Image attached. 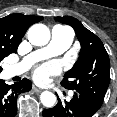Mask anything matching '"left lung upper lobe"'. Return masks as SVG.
Here are the masks:
<instances>
[{"label":"left lung upper lobe","mask_w":117,"mask_h":117,"mask_svg":"<svg viewBox=\"0 0 117 117\" xmlns=\"http://www.w3.org/2000/svg\"><path fill=\"white\" fill-rule=\"evenodd\" d=\"M55 20L72 26L81 44L80 56L65 73L61 85L101 107L110 83V61L102 41L74 17H55Z\"/></svg>","instance_id":"1"}]
</instances>
